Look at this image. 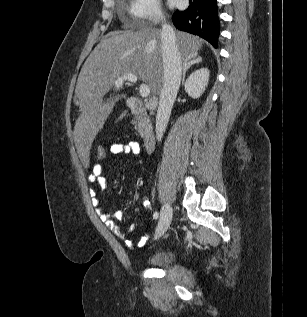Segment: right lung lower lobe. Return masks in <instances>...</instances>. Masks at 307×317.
I'll return each instance as SVG.
<instances>
[{
  "label": "right lung lower lobe",
  "mask_w": 307,
  "mask_h": 317,
  "mask_svg": "<svg viewBox=\"0 0 307 317\" xmlns=\"http://www.w3.org/2000/svg\"><path fill=\"white\" fill-rule=\"evenodd\" d=\"M189 7L172 16L176 28L206 39L215 48L219 36L216 0H189Z\"/></svg>",
  "instance_id": "obj_1"
}]
</instances>
